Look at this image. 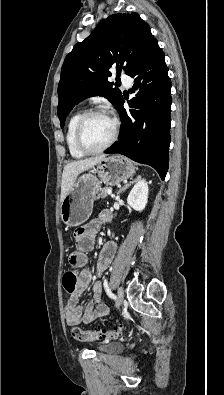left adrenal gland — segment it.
Listing matches in <instances>:
<instances>
[{"label":"left adrenal gland","mask_w":224,"mask_h":395,"mask_svg":"<svg viewBox=\"0 0 224 395\" xmlns=\"http://www.w3.org/2000/svg\"><path fill=\"white\" fill-rule=\"evenodd\" d=\"M139 178H141V176H137L136 179H134L133 181H130L128 184H126L124 187H122V188L118 191V195L121 194L123 191H125L131 184H133L134 182H136Z\"/></svg>","instance_id":"a2214340"}]
</instances>
